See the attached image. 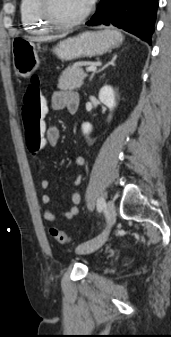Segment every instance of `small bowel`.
<instances>
[{"label": "small bowel", "instance_id": "c3829d8e", "mask_svg": "<svg viewBox=\"0 0 171 337\" xmlns=\"http://www.w3.org/2000/svg\"><path fill=\"white\" fill-rule=\"evenodd\" d=\"M75 104L79 106V96L77 93L73 91L60 89V90L55 91L51 95L50 108L52 110L57 111V110H61L64 108L69 109L70 105H75ZM45 135H46V139L48 143L51 146H56L58 144L60 140V130L57 126L51 125V126L46 127ZM74 164L77 167L84 168L86 166V159L82 156H77L74 158ZM81 181H82V176L79 175L73 183L72 193H71L72 205L68 209L62 211L61 213L62 217H64L65 219H72L73 217L79 214V204L82 199L81 193L79 190ZM40 186L43 190H47L50 186L49 180L42 179L40 182ZM41 201L43 204L47 205L51 203L52 199L48 193H44L41 196ZM44 218L46 221L50 223H54L56 221V212L53 209L49 208L45 211Z\"/></svg>", "mask_w": 171, "mask_h": 337}]
</instances>
